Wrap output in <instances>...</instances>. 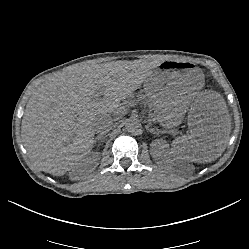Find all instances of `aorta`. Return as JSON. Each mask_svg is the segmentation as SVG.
I'll list each match as a JSON object with an SVG mask.
<instances>
[{
    "label": "aorta",
    "instance_id": "aorta-1",
    "mask_svg": "<svg viewBox=\"0 0 249 249\" xmlns=\"http://www.w3.org/2000/svg\"><path fill=\"white\" fill-rule=\"evenodd\" d=\"M140 122L136 118H128L125 121V128L128 132L135 133L140 129Z\"/></svg>",
    "mask_w": 249,
    "mask_h": 249
}]
</instances>
